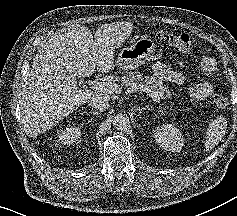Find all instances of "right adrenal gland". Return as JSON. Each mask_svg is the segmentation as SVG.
<instances>
[{"label":"right adrenal gland","instance_id":"2a0ac1e0","mask_svg":"<svg viewBox=\"0 0 237 216\" xmlns=\"http://www.w3.org/2000/svg\"><path fill=\"white\" fill-rule=\"evenodd\" d=\"M83 113H86V114H93V115H97L98 113L97 112H95V111H89V112H83Z\"/></svg>","mask_w":237,"mask_h":216}]
</instances>
